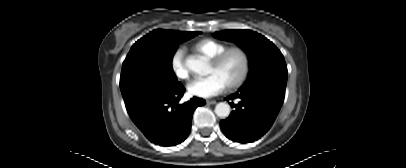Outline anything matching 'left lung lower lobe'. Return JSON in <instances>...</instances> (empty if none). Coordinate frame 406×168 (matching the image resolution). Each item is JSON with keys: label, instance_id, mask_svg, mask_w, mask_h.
Listing matches in <instances>:
<instances>
[{"label": "left lung lower lobe", "instance_id": "1", "mask_svg": "<svg viewBox=\"0 0 406 168\" xmlns=\"http://www.w3.org/2000/svg\"><path fill=\"white\" fill-rule=\"evenodd\" d=\"M285 96V87L262 85L239 89L225 100L239 99L230 116L220 122L222 132L234 142L248 143L261 138L274 123Z\"/></svg>", "mask_w": 406, "mask_h": 168}]
</instances>
